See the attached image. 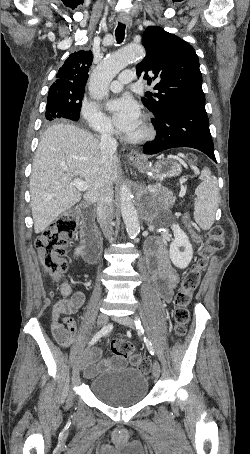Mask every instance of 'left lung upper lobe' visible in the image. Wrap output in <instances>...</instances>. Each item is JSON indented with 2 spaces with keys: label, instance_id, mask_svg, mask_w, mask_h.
<instances>
[{
  "label": "left lung upper lobe",
  "instance_id": "1",
  "mask_svg": "<svg viewBox=\"0 0 250 454\" xmlns=\"http://www.w3.org/2000/svg\"><path fill=\"white\" fill-rule=\"evenodd\" d=\"M142 43L147 54L137 65V74L145 72L149 84L157 82L154 89L158 93L142 98L155 119L177 107L205 105L199 59L189 43L158 26L146 28Z\"/></svg>",
  "mask_w": 250,
  "mask_h": 454
}]
</instances>
